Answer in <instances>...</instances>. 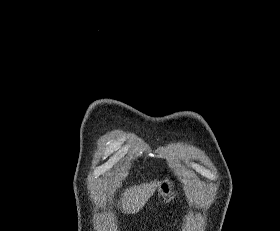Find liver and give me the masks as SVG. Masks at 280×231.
<instances>
[{"instance_id": "6515ba94", "label": "liver", "mask_w": 280, "mask_h": 231, "mask_svg": "<svg viewBox=\"0 0 280 231\" xmlns=\"http://www.w3.org/2000/svg\"><path fill=\"white\" fill-rule=\"evenodd\" d=\"M155 187H157L156 181H150V183H141V185H133V187L125 189L120 201L122 211L124 213L140 211L145 203H147L149 197L153 195Z\"/></svg>"}]
</instances>
